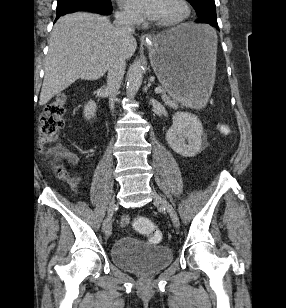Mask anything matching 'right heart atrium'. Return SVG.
<instances>
[{"mask_svg":"<svg viewBox=\"0 0 286 308\" xmlns=\"http://www.w3.org/2000/svg\"><path fill=\"white\" fill-rule=\"evenodd\" d=\"M117 19L125 23H136L137 22V20L133 16H131L125 11H119L117 13Z\"/></svg>","mask_w":286,"mask_h":308,"instance_id":"right-heart-atrium-1","label":"right heart atrium"}]
</instances>
